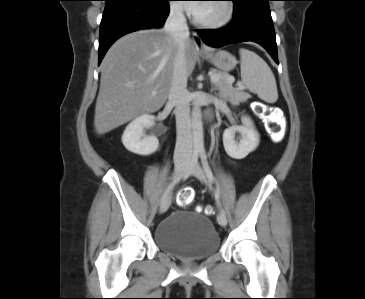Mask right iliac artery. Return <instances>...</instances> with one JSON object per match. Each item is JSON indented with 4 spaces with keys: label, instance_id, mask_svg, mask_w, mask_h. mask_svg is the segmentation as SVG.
Segmentation results:
<instances>
[{
    "label": "right iliac artery",
    "instance_id": "1",
    "mask_svg": "<svg viewBox=\"0 0 365 299\" xmlns=\"http://www.w3.org/2000/svg\"><path fill=\"white\" fill-rule=\"evenodd\" d=\"M198 157H199V150H194L193 151V155H192V159H191V163H190V166L188 168V171L184 174H182L181 176L175 178L169 185L168 187L166 188V190L164 191L163 193V196H162V202L169 196V193L172 191L173 187L175 186V184L177 182L180 181V179L182 177H187L189 176V174L191 173V171L194 169V167L196 166V164L198 163Z\"/></svg>",
    "mask_w": 365,
    "mask_h": 299
}]
</instances>
